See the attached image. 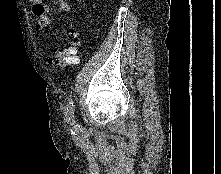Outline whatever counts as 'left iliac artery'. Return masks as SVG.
I'll list each match as a JSON object with an SVG mask.
<instances>
[{"mask_svg":"<svg viewBox=\"0 0 221 174\" xmlns=\"http://www.w3.org/2000/svg\"><path fill=\"white\" fill-rule=\"evenodd\" d=\"M74 110H75L74 101H73V99H70L69 102H68V105L66 107L65 117L72 124H75Z\"/></svg>","mask_w":221,"mask_h":174,"instance_id":"44dca946","label":"left iliac artery"}]
</instances>
